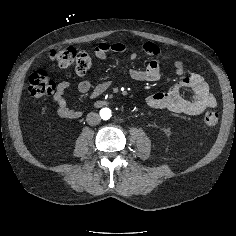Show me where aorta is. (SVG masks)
I'll return each instance as SVG.
<instances>
[{"mask_svg":"<svg viewBox=\"0 0 236 236\" xmlns=\"http://www.w3.org/2000/svg\"><path fill=\"white\" fill-rule=\"evenodd\" d=\"M100 115L101 118L104 120H108L109 118H111L112 114H111V110L109 108H103L100 111Z\"/></svg>","mask_w":236,"mask_h":236,"instance_id":"1","label":"aorta"}]
</instances>
